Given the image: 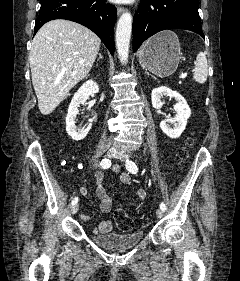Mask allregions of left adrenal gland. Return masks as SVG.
<instances>
[{"label":"left adrenal gland","mask_w":240,"mask_h":281,"mask_svg":"<svg viewBox=\"0 0 240 281\" xmlns=\"http://www.w3.org/2000/svg\"><path fill=\"white\" fill-rule=\"evenodd\" d=\"M146 73V75H148V76H151V77H153V78H155L153 75H151L150 73H148V72H145Z\"/></svg>","instance_id":"left-adrenal-gland-1"}]
</instances>
